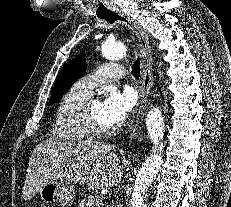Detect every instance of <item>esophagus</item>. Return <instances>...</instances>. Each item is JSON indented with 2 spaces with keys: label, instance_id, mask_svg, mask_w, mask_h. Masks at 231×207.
Masks as SVG:
<instances>
[{
  "label": "esophagus",
  "instance_id": "1",
  "mask_svg": "<svg viewBox=\"0 0 231 207\" xmlns=\"http://www.w3.org/2000/svg\"><path fill=\"white\" fill-rule=\"evenodd\" d=\"M117 14L123 18H125L132 26L135 35L139 41L140 47V56H141V84L139 87V102L136 105L134 110L133 117L130 122L129 127V145L132 141L139 135L140 132V124L143 120L144 109L146 105V96L151 89L153 82L152 75V55H151V47L148 40V35L145 30L140 26L138 22H136L129 15L125 14L123 11H117Z\"/></svg>",
  "mask_w": 231,
  "mask_h": 207
}]
</instances>
